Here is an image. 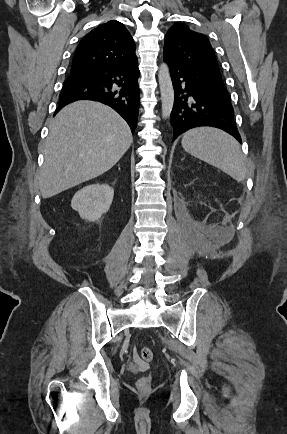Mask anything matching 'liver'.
<instances>
[{"label":"liver","instance_id":"1","mask_svg":"<svg viewBox=\"0 0 287 434\" xmlns=\"http://www.w3.org/2000/svg\"><path fill=\"white\" fill-rule=\"evenodd\" d=\"M39 187L44 199L110 170L133 137L125 120L110 107L77 101L64 107L49 126Z\"/></svg>","mask_w":287,"mask_h":434}]
</instances>
